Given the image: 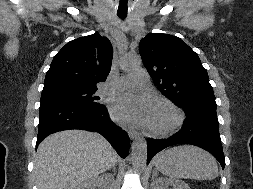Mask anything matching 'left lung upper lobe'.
Returning <instances> with one entry per match:
<instances>
[{
    "mask_svg": "<svg viewBox=\"0 0 253 189\" xmlns=\"http://www.w3.org/2000/svg\"><path fill=\"white\" fill-rule=\"evenodd\" d=\"M142 61L160 92L187 116L217 119L213 88L198 55L180 38L148 34L140 41Z\"/></svg>",
    "mask_w": 253,
    "mask_h": 189,
    "instance_id": "1",
    "label": "left lung upper lobe"
}]
</instances>
